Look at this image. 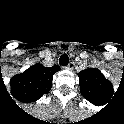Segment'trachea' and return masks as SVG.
I'll return each mask as SVG.
<instances>
[{
    "mask_svg": "<svg viewBox=\"0 0 124 124\" xmlns=\"http://www.w3.org/2000/svg\"><path fill=\"white\" fill-rule=\"evenodd\" d=\"M68 63H69V57H68V55L67 54L61 55L60 58H59V64L61 66H67Z\"/></svg>",
    "mask_w": 124,
    "mask_h": 124,
    "instance_id": "obj_1",
    "label": "trachea"
}]
</instances>
